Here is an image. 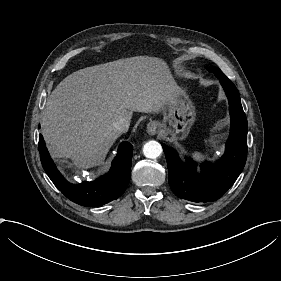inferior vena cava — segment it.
Wrapping results in <instances>:
<instances>
[{"label": "inferior vena cava", "mask_w": 281, "mask_h": 281, "mask_svg": "<svg viewBox=\"0 0 281 281\" xmlns=\"http://www.w3.org/2000/svg\"><path fill=\"white\" fill-rule=\"evenodd\" d=\"M129 126H130V122H128L127 120H125L123 118L119 119L118 121H116L114 123L115 129L121 133L127 132L129 129Z\"/></svg>", "instance_id": "inferior-vena-cava-1"}]
</instances>
